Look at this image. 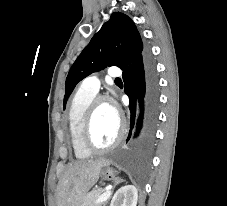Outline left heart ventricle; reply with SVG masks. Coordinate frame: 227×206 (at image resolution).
<instances>
[{"mask_svg":"<svg viewBox=\"0 0 227 206\" xmlns=\"http://www.w3.org/2000/svg\"><path fill=\"white\" fill-rule=\"evenodd\" d=\"M118 132V116L114 114L111 104H101L95 114L92 138L99 147L110 145Z\"/></svg>","mask_w":227,"mask_h":206,"instance_id":"1","label":"left heart ventricle"}]
</instances>
